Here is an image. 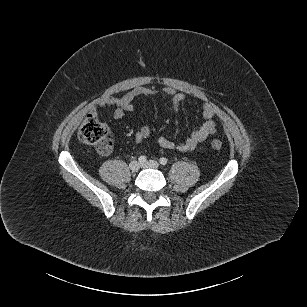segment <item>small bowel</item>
<instances>
[{
    "mask_svg": "<svg viewBox=\"0 0 307 307\" xmlns=\"http://www.w3.org/2000/svg\"><path fill=\"white\" fill-rule=\"evenodd\" d=\"M156 93L152 88L138 86L127 92L121 97L109 96L100 100L97 106L92 110L94 116H97L99 109L105 106L113 107V117L115 119L122 118L125 113L130 112L134 108V102L138 97H151ZM163 93L170 97L173 110L177 111L179 106L184 102L185 95L177 92L172 88H164ZM202 117L204 122L195 129L188 138L183 141H174L168 137H159L158 144L164 149L176 150L179 152H188L194 150L200 143L204 142L208 137L216 134L217 123L216 113L213 107L208 103L200 105ZM152 131L146 126L142 125L135 132L134 138L137 143H144L151 139Z\"/></svg>",
    "mask_w": 307,
    "mask_h": 307,
    "instance_id": "1",
    "label": "small bowel"
}]
</instances>
